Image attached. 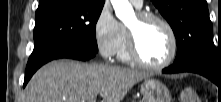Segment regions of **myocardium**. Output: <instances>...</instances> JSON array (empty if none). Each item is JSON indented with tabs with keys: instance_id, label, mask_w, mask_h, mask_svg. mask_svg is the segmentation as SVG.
<instances>
[{
	"instance_id": "f54148a6",
	"label": "myocardium",
	"mask_w": 221,
	"mask_h": 102,
	"mask_svg": "<svg viewBox=\"0 0 221 102\" xmlns=\"http://www.w3.org/2000/svg\"><path fill=\"white\" fill-rule=\"evenodd\" d=\"M137 19L140 23L149 22V21H156L164 26L167 30L170 40H171V51L167 59L158 64H152L147 62L142 55L140 54L136 34L133 29L126 27V42H127V50L131 60L136 63L137 65L150 69V70H160L168 67L176 58L177 51H178V39L175 33L174 28L172 25L162 16L147 12V11H140L137 13Z\"/></svg>"
}]
</instances>
